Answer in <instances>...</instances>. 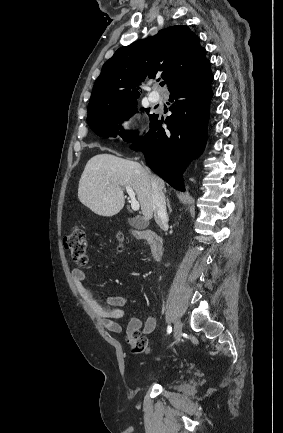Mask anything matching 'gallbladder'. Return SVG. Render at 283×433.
Here are the masks:
<instances>
[{
	"instance_id": "gallbladder-1",
	"label": "gallbladder",
	"mask_w": 283,
	"mask_h": 433,
	"mask_svg": "<svg viewBox=\"0 0 283 433\" xmlns=\"http://www.w3.org/2000/svg\"><path fill=\"white\" fill-rule=\"evenodd\" d=\"M128 223L134 229H146L148 225L147 221H143V219H128Z\"/></svg>"
}]
</instances>
